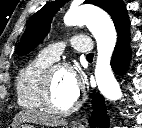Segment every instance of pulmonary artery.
<instances>
[{
  "label": "pulmonary artery",
  "instance_id": "obj_1",
  "mask_svg": "<svg viewBox=\"0 0 142 128\" xmlns=\"http://www.w3.org/2000/svg\"><path fill=\"white\" fill-rule=\"evenodd\" d=\"M70 44L72 48L75 49L76 51L86 53V54H89L92 52L93 45L91 40L87 36L74 35L70 39ZM64 49H65L64 42H55L44 47L40 53L44 57L55 61L59 59Z\"/></svg>",
  "mask_w": 142,
  "mask_h": 128
}]
</instances>
